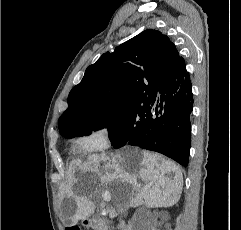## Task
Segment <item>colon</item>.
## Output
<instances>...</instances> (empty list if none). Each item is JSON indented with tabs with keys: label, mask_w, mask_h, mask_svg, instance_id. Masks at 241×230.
<instances>
[{
	"label": "colon",
	"mask_w": 241,
	"mask_h": 230,
	"mask_svg": "<svg viewBox=\"0 0 241 230\" xmlns=\"http://www.w3.org/2000/svg\"><path fill=\"white\" fill-rule=\"evenodd\" d=\"M67 230H80L78 227L74 226V227H70Z\"/></svg>",
	"instance_id": "obj_1"
}]
</instances>
